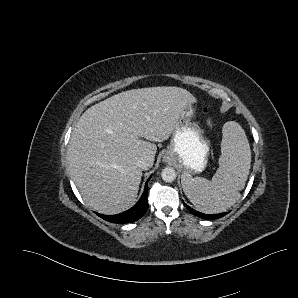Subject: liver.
<instances>
[{
    "mask_svg": "<svg viewBox=\"0 0 298 298\" xmlns=\"http://www.w3.org/2000/svg\"><path fill=\"white\" fill-rule=\"evenodd\" d=\"M197 102L185 88L157 86L113 95L88 108L73 129L68 161L83 200L102 214H117L136 201L145 158L168 140L182 109ZM140 137L148 141L141 140Z\"/></svg>",
    "mask_w": 298,
    "mask_h": 298,
    "instance_id": "1",
    "label": "liver"
}]
</instances>
